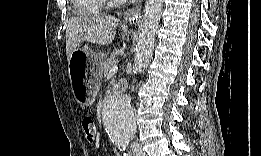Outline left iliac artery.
Listing matches in <instances>:
<instances>
[{
  "mask_svg": "<svg viewBox=\"0 0 261 156\" xmlns=\"http://www.w3.org/2000/svg\"><path fill=\"white\" fill-rule=\"evenodd\" d=\"M116 144L118 145V148L120 149V151L123 152V155H124V156L130 155V153H127V152L125 151V150H126V147H127L128 144H129V138H124V139L118 140V141H116Z\"/></svg>",
  "mask_w": 261,
  "mask_h": 156,
  "instance_id": "obj_1",
  "label": "left iliac artery"
}]
</instances>
